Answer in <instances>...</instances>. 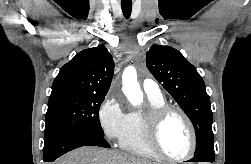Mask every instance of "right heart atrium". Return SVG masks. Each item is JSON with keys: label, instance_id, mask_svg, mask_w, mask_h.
Returning <instances> with one entry per match:
<instances>
[{"label": "right heart atrium", "instance_id": "obj_1", "mask_svg": "<svg viewBox=\"0 0 251 164\" xmlns=\"http://www.w3.org/2000/svg\"><path fill=\"white\" fill-rule=\"evenodd\" d=\"M127 119L128 113L125 112L122 101L114 96H108L98 112L99 124L106 139L120 140L125 131Z\"/></svg>", "mask_w": 251, "mask_h": 164}]
</instances>
